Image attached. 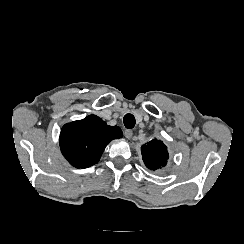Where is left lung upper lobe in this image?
I'll use <instances>...</instances> for the list:
<instances>
[{
    "label": "left lung upper lobe",
    "mask_w": 244,
    "mask_h": 244,
    "mask_svg": "<svg viewBox=\"0 0 244 244\" xmlns=\"http://www.w3.org/2000/svg\"><path fill=\"white\" fill-rule=\"evenodd\" d=\"M141 152L146 167L153 171L164 167L169 157L167 147L158 139L143 145Z\"/></svg>",
    "instance_id": "left-lung-upper-lobe-1"
}]
</instances>
